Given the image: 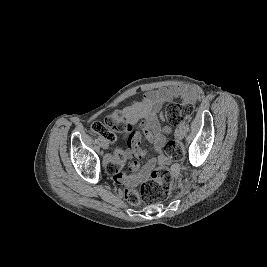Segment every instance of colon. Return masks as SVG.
<instances>
[{"label": "colon", "mask_w": 267, "mask_h": 267, "mask_svg": "<svg viewBox=\"0 0 267 267\" xmlns=\"http://www.w3.org/2000/svg\"><path fill=\"white\" fill-rule=\"evenodd\" d=\"M192 103L191 100H183L181 103L169 104L164 112L165 119L172 125L186 122L190 118ZM104 126L119 133H125L129 128L127 120L118 112L108 114L105 117ZM166 152L174 162L181 161L185 154L184 147L178 140L168 142ZM173 187V178L167 172L154 171L151 173V178L142 185L140 191L135 188H127L126 195L131 203L140 200L162 202L169 198Z\"/></svg>", "instance_id": "5ec220e1"}]
</instances>
